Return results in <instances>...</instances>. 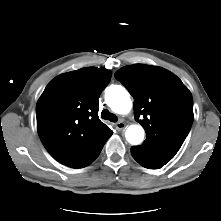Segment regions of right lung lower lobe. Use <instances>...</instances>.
Instances as JSON below:
<instances>
[{
    "mask_svg": "<svg viewBox=\"0 0 221 221\" xmlns=\"http://www.w3.org/2000/svg\"><path fill=\"white\" fill-rule=\"evenodd\" d=\"M113 131L111 130L107 135H105L101 140L96 142L92 147H90L83 155H81L76 160L67 164V166L72 168H83L88 166L91 162H93L98 155L100 154L102 147L108 140V138L112 135Z\"/></svg>",
    "mask_w": 221,
    "mask_h": 221,
    "instance_id": "obj_1",
    "label": "right lung lower lobe"
}]
</instances>
